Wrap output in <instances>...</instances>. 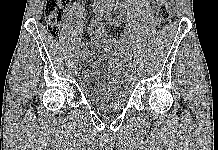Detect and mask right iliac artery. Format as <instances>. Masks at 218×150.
Instances as JSON below:
<instances>
[{
    "label": "right iliac artery",
    "mask_w": 218,
    "mask_h": 150,
    "mask_svg": "<svg viewBox=\"0 0 218 150\" xmlns=\"http://www.w3.org/2000/svg\"><path fill=\"white\" fill-rule=\"evenodd\" d=\"M94 13H95V15H94V17H93V22L100 21V20L102 19V17H103V9H102V8L100 9V7H96V8L94 9ZM79 54H80V55H83V54H84V51H83V50H80V51H79Z\"/></svg>",
    "instance_id": "82829eb1"
}]
</instances>
